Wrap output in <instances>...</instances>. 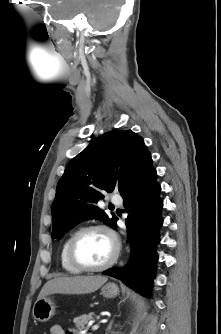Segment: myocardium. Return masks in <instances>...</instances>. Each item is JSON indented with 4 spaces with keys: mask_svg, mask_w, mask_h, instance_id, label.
I'll return each mask as SVG.
<instances>
[{
    "mask_svg": "<svg viewBox=\"0 0 221 334\" xmlns=\"http://www.w3.org/2000/svg\"><path fill=\"white\" fill-rule=\"evenodd\" d=\"M92 230H102L106 232L111 237L113 241V246H114V250H113L111 257L104 264L98 265V266H88V265L83 264L82 262L78 260L75 254V247H76V244L79 238L86 232H89ZM119 253H120L119 238L117 234L115 233V231L106 224L95 223V224H89V225H86L80 228L78 231H76L73 234L69 242V245H68V259L70 263L76 268L80 269L81 271H87V272H99V271H104L110 268L118 259Z\"/></svg>",
    "mask_w": 221,
    "mask_h": 334,
    "instance_id": "obj_1",
    "label": "myocardium"
}]
</instances>
